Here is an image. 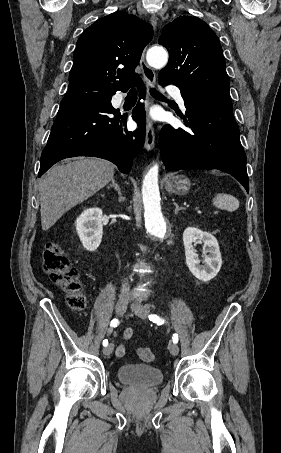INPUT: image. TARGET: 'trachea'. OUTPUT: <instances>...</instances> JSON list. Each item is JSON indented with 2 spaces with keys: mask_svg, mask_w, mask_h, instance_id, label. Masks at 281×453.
<instances>
[{
  "mask_svg": "<svg viewBox=\"0 0 281 453\" xmlns=\"http://www.w3.org/2000/svg\"><path fill=\"white\" fill-rule=\"evenodd\" d=\"M150 88H152V87H150ZM150 93H151V95H152L153 97H163V95H162L160 92H158L157 90H155V89H151V90H150ZM128 95L131 96V97H133V98H136V96H137V91H136V89H134V88L131 89Z\"/></svg>",
  "mask_w": 281,
  "mask_h": 453,
  "instance_id": "obj_1",
  "label": "trachea"
}]
</instances>
